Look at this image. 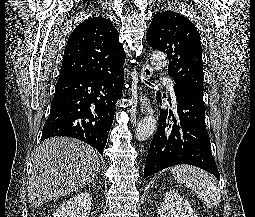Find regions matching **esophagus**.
<instances>
[{
  "mask_svg": "<svg viewBox=\"0 0 255 217\" xmlns=\"http://www.w3.org/2000/svg\"><path fill=\"white\" fill-rule=\"evenodd\" d=\"M153 70L148 62H145L141 68V76L143 81L148 80L152 77ZM144 84L142 83L141 93L139 97L140 109L141 112L144 114H153V108L150 103V99L147 95L143 92Z\"/></svg>",
  "mask_w": 255,
  "mask_h": 217,
  "instance_id": "1",
  "label": "esophagus"
}]
</instances>
